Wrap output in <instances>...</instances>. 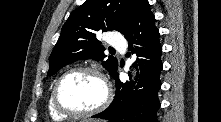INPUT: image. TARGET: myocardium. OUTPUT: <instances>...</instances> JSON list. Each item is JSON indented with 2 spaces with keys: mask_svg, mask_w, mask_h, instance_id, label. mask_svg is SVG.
Masks as SVG:
<instances>
[{
  "mask_svg": "<svg viewBox=\"0 0 221 122\" xmlns=\"http://www.w3.org/2000/svg\"><path fill=\"white\" fill-rule=\"evenodd\" d=\"M78 73H89V74L95 75L101 80V82L104 85V90H105L104 98L100 102V104L92 109L85 110V111H78V110L70 109L66 107L65 105H63V103L60 100V89H61L63 82L70 76L74 74H78ZM111 98H112V90H111V86L106 76L97 68L89 67V66H79V67H75V68L68 70L67 72H65L63 75H61L58 78L52 90V102H53L55 109L61 114L69 116V117H88V116L95 115L103 111L108 106V104L111 101Z\"/></svg>",
  "mask_w": 221,
  "mask_h": 122,
  "instance_id": "f54148a6",
  "label": "myocardium"
}]
</instances>
